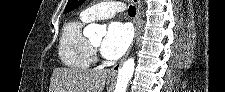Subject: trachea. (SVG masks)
<instances>
[{
  "instance_id": "1",
  "label": "trachea",
  "mask_w": 225,
  "mask_h": 92,
  "mask_svg": "<svg viewBox=\"0 0 225 92\" xmlns=\"http://www.w3.org/2000/svg\"><path fill=\"white\" fill-rule=\"evenodd\" d=\"M128 14L131 16V17H134L136 15V8L135 6L133 5H130L129 9H128Z\"/></svg>"
}]
</instances>
